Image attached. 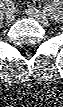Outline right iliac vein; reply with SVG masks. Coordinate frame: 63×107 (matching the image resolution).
Wrapping results in <instances>:
<instances>
[{
	"mask_svg": "<svg viewBox=\"0 0 63 107\" xmlns=\"http://www.w3.org/2000/svg\"><path fill=\"white\" fill-rule=\"evenodd\" d=\"M14 14L12 13V11H7L6 12V21L7 22H12L14 20Z\"/></svg>",
	"mask_w": 63,
	"mask_h": 107,
	"instance_id": "63e3f726",
	"label": "right iliac vein"
}]
</instances>
